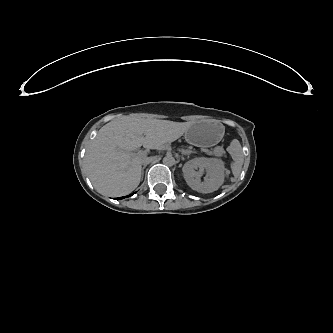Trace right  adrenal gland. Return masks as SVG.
Returning <instances> with one entry per match:
<instances>
[{
  "mask_svg": "<svg viewBox=\"0 0 333 333\" xmlns=\"http://www.w3.org/2000/svg\"><path fill=\"white\" fill-rule=\"evenodd\" d=\"M146 168V165H144V167L142 168L141 170V175L143 176L144 175V169Z\"/></svg>",
  "mask_w": 333,
  "mask_h": 333,
  "instance_id": "1",
  "label": "right adrenal gland"
}]
</instances>
